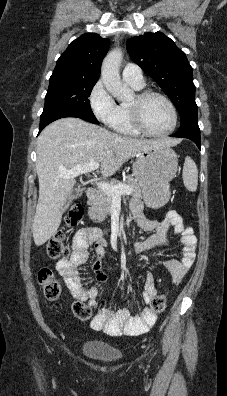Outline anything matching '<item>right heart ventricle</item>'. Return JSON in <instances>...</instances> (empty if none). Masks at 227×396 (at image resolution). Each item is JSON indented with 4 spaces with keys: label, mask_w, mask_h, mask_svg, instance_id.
I'll return each instance as SVG.
<instances>
[{
    "label": "right heart ventricle",
    "mask_w": 227,
    "mask_h": 396,
    "mask_svg": "<svg viewBox=\"0 0 227 396\" xmlns=\"http://www.w3.org/2000/svg\"><path fill=\"white\" fill-rule=\"evenodd\" d=\"M129 85L136 90H140L142 88L133 84ZM108 125L113 131L119 134L129 136H137L140 134V132L133 126L131 122L128 104L126 103L117 105L116 113Z\"/></svg>",
    "instance_id": "obj_1"
}]
</instances>
